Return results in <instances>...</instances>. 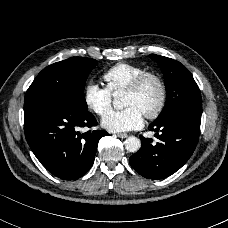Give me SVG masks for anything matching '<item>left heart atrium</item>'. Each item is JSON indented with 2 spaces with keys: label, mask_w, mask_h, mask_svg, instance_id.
Masks as SVG:
<instances>
[{
  "label": "left heart atrium",
  "mask_w": 228,
  "mask_h": 228,
  "mask_svg": "<svg viewBox=\"0 0 228 228\" xmlns=\"http://www.w3.org/2000/svg\"><path fill=\"white\" fill-rule=\"evenodd\" d=\"M101 123L109 131L126 132L142 126L143 114L135 107L112 110L103 116Z\"/></svg>",
  "instance_id": "obj_1"
}]
</instances>
